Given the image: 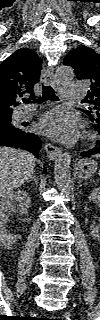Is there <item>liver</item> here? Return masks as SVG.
<instances>
[{
    "instance_id": "1",
    "label": "liver",
    "mask_w": 100,
    "mask_h": 320,
    "mask_svg": "<svg viewBox=\"0 0 100 320\" xmlns=\"http://www.w3.org/2000/svg\"><path fill=\"white\" fill-rule=\"evenodd\" d=\"M37 159L29 152L0 148V195L1 197L19 188L33 176Z\"/></svg>"
}]
</instances>
